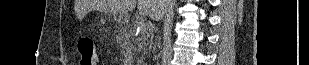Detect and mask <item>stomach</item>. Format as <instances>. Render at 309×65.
Returning a JSON list of instances; mask_svg holds the SVG:
<instances>
[{"instance_id": "obj_1", "label": "stomach", "mask_w": 309, "mask_h": 65, "mask_svg": "<svg viewBox=\"0 0 309 65\" xmlns=\"http://www.w3.org/2000/svg\"><path fill=\"white\" fill-rule=\"evenodd\" d=\"M114 19L119 24H126L128 22V16L126 14H114Z\"/></svg>"}]
</instances>
